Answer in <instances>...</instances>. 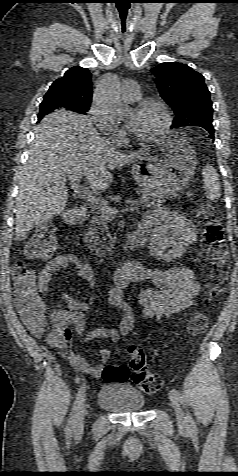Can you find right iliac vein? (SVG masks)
<instances>
[{
  "mask_svg": "<svg viewBox=\"0 0 238 476\" xmlns=\"http://www.w3.org/2000/svg\"><path fill=\"white\" fill-rule=\"evenodd\" d=\"M84 420H85V404L82 405L75 420V425H74L75 436H78L82 433L84 428Z\"/></svg>",
  "mask_w": 238,
  "mask_h": 476,
  "instance_id": "1",
  "label": "right iliac vein"
}]
</instances>
